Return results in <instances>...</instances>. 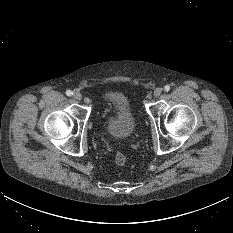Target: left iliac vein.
Segmentation results:
<instances>
[{
  "label": "left iliac vein",
  "mask_w": 233,
  "mask_h": 233,
  "mask_svg": "<svg viewBox=\"0 0 233 233\" xmlns=\"http://www.w3.org/2000/svg\"><path fill=\"white\" fill-rule=\"evenodd\" d=\"M161 93H162V89L161 88H156L154 90V96L155 97H159L161 95Z\"/></svg>",
  "instance_id": "obj_1"
}]
</instances>
